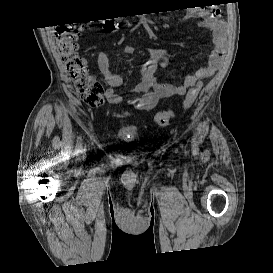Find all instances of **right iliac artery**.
<instances>
[{
  "label": "right iliac artery",
  "instance_id": "right-iliac-artery-1",
  "mask_svg": "<svg viewBox=\"0 0 273 273\" xmlns=\"http://www.w3.org/2000/svg\"><path fill=\"white\" fill-rule=\"evenodd\" d=\"M79 146H78V149H77V153L81 152L82 151V146H81V137L79 138Z\"/></svg>",
  "mask_w": 273,
  "mask_h": 273
}]
</instances>
